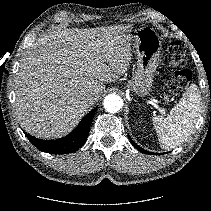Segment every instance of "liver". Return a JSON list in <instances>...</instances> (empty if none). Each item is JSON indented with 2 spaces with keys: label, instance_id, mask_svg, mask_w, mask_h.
<instances>
[{
  "label": "liver",
  "instance_id": "1",
  "mask_svg": "<svg viewBox=\"0 0 211 211\" xmlns=\"http://www.w3.org/2000/svg\"><path fill=\"white\" fill-rule=\"evenodd\" d=\"M129 26L56 29L42 34L20 62L15 107L21 127L37 138L70 133L131 61ZM87 94L97 97L88 104Z\"/></svg>",
  "mask_w": 211,
  "mask_h": 211
}]
</instances>
